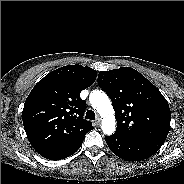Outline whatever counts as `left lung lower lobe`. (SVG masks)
<instances>
[{
  "label": "left lung lower lobe",
  "mask_w": 184,
  "mask_h": 184,
  "mask_svg": "<svg viewBox=\"0 0 184 184\" xmlns=\"http://www.w3.org/2000/svg\"><path fill=\"white\" fill-rule=\"evenodd\" d=\"M105 141L114 154L127 161H141L156 153L148 147L133 142L116 133L105 137Z\"/></svg>",
  "instance_id": "0a47b994"
}]
</instances>
